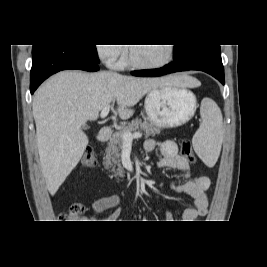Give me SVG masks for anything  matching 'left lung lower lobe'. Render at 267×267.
<instances>
[{
  "mask_svg": "<svg viewBox=\"0 0 267 267\" xmlns=\"http://www.w3.org/2000/svg\"><path fill=\"white\" fill-rule=\"evenodd\" d=\"M188 70L204 71L224 85V68L220 45H197L186 51L182 57L175 59L173 64H168L158 69L136 70L132 72V75L157 77Z\"/></svg>",
  "mask_w": 267,
  "mask_h": 267,
  "instance_id": "1",
  "label": "left lung lower lobe"
}]
</instances>
